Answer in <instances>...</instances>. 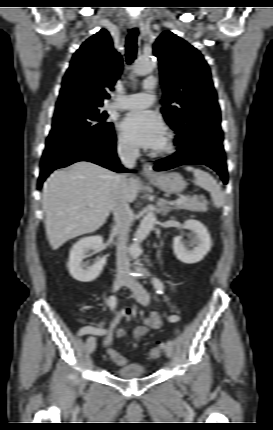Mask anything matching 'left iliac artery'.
I'll list each match as a JSON object with an SVG mask.
<instances>
[{
	"label": "left iliac artery",
	"instance_id": "44dca946",
	"mask_svg": "<svg viewBox=\"0 0 273 430\" xmlns=\"http://www.w3.org/2000/svg\"><path fill=\"white\" fill-rule=\"evenodd\" d=\"M152 283H153V286H154L156 292L158 294H163V292H164V285L160 281V279H158V278H152ZM168 319H169V321L174 322V321H176L178 319V317L175 316V315H173V316H170Z\"/></svg>",
	"mask_w": 273,
	"mask_h": 430
}]
</instances>
